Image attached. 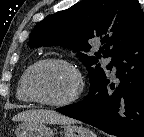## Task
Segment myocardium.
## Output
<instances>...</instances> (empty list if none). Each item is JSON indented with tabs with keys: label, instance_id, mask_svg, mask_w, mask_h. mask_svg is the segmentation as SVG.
Wrapping results in <instances>:
<instances>
[{
	"label": "myocardium",
	"instance_id": "myocardium-1",
	"mask_svg": "<svg viewBox=\"0 0 144 137\" xmlns=\"http://www.w3.org/2000/svg\"><path fill=\"white\" fill-rule=\"evenodd\" d=\"M47 64L60 65L66 67L67 69H69L74 73L77 79V87L74 93L69 98L61 101H49V100L41 99L33 93L31 88L32 75L36 69ZM24 89L29 99L35 103L45 105V106H50V107H65L75 103L79 99L84 89V80L81 71L73 63L59 58H45L35 62L27 69L26 77L24 81Z\"/></svg>",
	"mask_w": 144,
	"mask_h": 137
}]
</instances>
